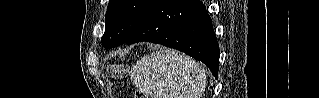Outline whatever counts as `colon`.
<instances>
[{
    "instance_id": "5ec220e1",
    "label": "colon",
    "mask_w": 319,
    "mask_h": 98,
    "mask_svg": "<svg viewBox=\"0 0 319 98\" xmlns=\"http://www.w3.org/2000/svg\"><path fill=\"white\" fill-rule=\"evenodd\" d=\"M137 98H146L147 96L145 95V93L143 91H138L136 94Z\"/></svg>"
}]
</instances>
